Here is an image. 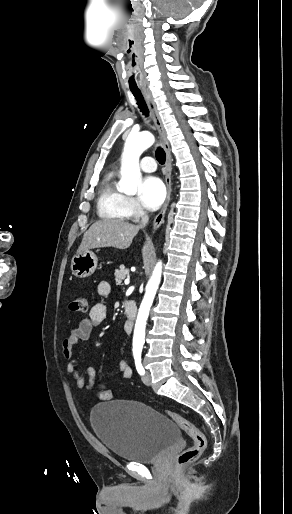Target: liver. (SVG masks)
I'll list each match as a JSON object with an SVG mask.
<instances>
[{"label":"liver","instance_id":"1","mask_svg":"<svg viewBox=\"0 0 292 514\" xmlns=\"http://www.w3.org/2000/svg\"><path fill=\"white\" fill-rule=\"evenodd\" d=\"M140 226H133L123 220H98L85 232L77 252H88L93 248H120L126 250L138 234Z\"/></svg>","mask_w":292,"mask_h":514}]
</instances>
